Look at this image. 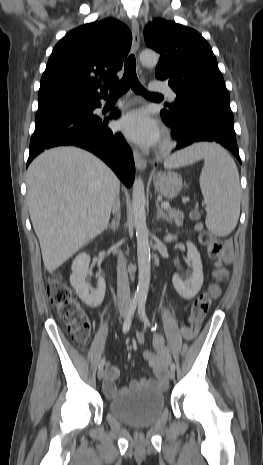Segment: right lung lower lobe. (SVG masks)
Returning <instances> with one entry per match:
<instances>
[{
	"mask_svg": "<svg viewBox=\"0 0 263 465\" xmlns=\"http://www.w3.org/2000/svg\"><path fill=\"white\" fill-rule=\"evenodd\" d=\"M100 98H94L86 108H63L36 114L27 166L45 149L74 145L97 155L130 187L135 176L132 151L120 133L107 127L108 118L93 115V110L101 106ZM113 117H118L117 109L109 118Z\"/></svg>",
	"mask_w": 263,
	"mask_h": 465,
	"instance_id": "right-lung-lower-lobe-1",
	"label": "right lung lower lobe"
}]
</instances>
